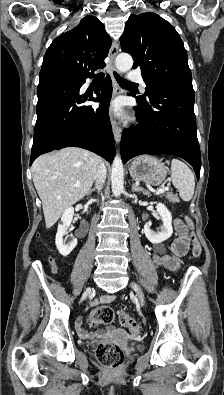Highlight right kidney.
Listing matches in <instances>:
<instances>
[{"label": "right kidney", "instance_id": "obj_1", "mask_svg": "<svg viewBox=\"0 0 224 395\" xmlns=\"http://www.w3.org/2000/svg\"><path fill=\"white\" fill-rule=\"evenodd\" d=\"M74 216V208L69 207L64 211L61 217V224L58 226L55 238V244L62 256H68L77 245V239L72 237L69 243H65L63 236L67 234V230L72 222Z\"/></svg>", "mask_w": 224, "mask_h": 395}]
</instances>
